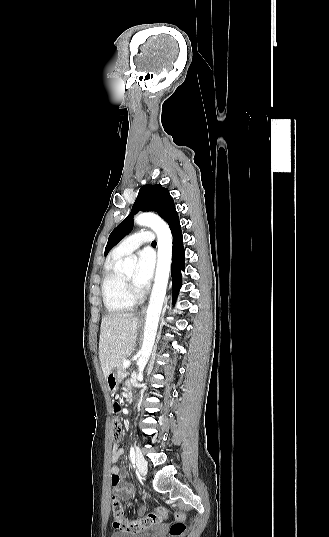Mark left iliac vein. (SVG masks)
<instances>
[{
	"instance_id": "4c4485c4",
	"label": "left iliac vein",
	"mask_w": 329,
	"mask_h": 537,
	"mask_svg": "<svg viewBox=\"0 0 329 537\" xmlns=\"http://www.w3.org/2000/svg\"><path fill=\"white\" fill-rule=\"evenodd\" d=\"M136 465H137V469L140 472V474L142 476H145L146 473H147L148 467H147L146 460L141 455H137V457H136Z\"/></svg>"
}]
</instances>
